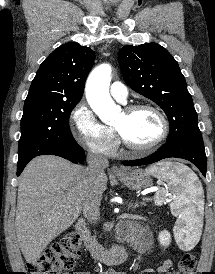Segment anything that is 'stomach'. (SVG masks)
I'll return each instance as SVG.
<instances>
[{"label":"stomach","mask_w":215,"mask_h":274,"mask_svg":"<svg viewBox=\"0 0 215 274\" xmlns=\"http://www.w3.org/2000/svg\"><path fill=\"white\" fill-rule=\"evenodd\" d=\"M118 179L133 190H142L152 185V179L146 171L134 169L117 175Z\"/></svg>","instance_id":"1"}]
</instances>
